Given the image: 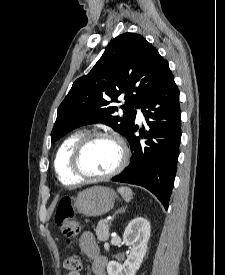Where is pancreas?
<instances>
[{"label":"pancreas","instance_id":"obj_1","mask_svg":"<svg viewBox=\"0 0 225 275\" xmlns=\"http://www.w3.org/2000/svg\"><path fill=\"white\" fill-rule=\"evenodd\" d=\"M95 233L99 241H107L109 238V221L100 220Z\"/></svg>","mask_w":225,"mask_h":275}]
</instances>
